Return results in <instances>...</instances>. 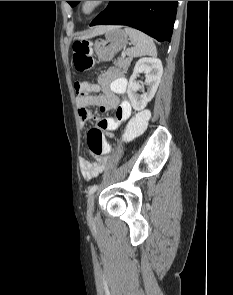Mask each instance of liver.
Returning <instances> with one entry per match:
<instances>
[{
    "label": "liver",
    "instance_id": "liver-1",
    "mask_svg": "<svg viewBox=\"0 0 233 295\" xmlns=\"http://www.w3.org/2000/svg\"><path fill=\"white\" fill-rule=\"evenodd\" d=\"M112 28H113L112 26H99V27L95 28L92 31L91 34L82 37V39H86V38H90V37H93V36H96V35L103 34V33H105L106 31H108V30H110Z\"/></svg>",
    "mask_w": 233,
    "mask_h": 295
}]
</instances>
